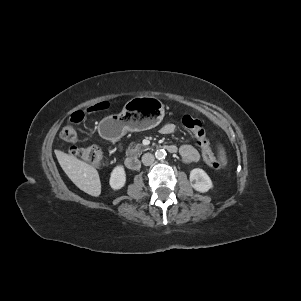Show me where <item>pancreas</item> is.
<instances>
[{"label":"pancreas","mask_w":301,"mask_h":301,"mask_svg":"<svg viewBox=\"0 0 301 301\" xmlns=\"http://www.w3.org/2000/svg\"><path fill=\"white\" fill-rule=\"evenodd\" d=\"M145 149L143 148L142 144H130L129 147L126 150V154L127 155H138L139 153H141L142 151H144Z\"/></svg>","instance_id":"pancreas-1"}]
</instances>
